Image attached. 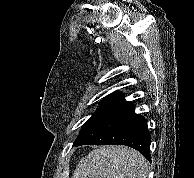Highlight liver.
<instances>
[{
  "label": "liver",
  "instance_id": "liver-1",
  "mask_svg": "<svg viewBox=\"0 0 194 178\" xmlns=\"http://www.w3.org/2000/svg\"><path fill=\"white\" fill-rule=\"evenodd\" d=\"M149 162L125 146H100L82 158L72 178H148Z\"/></svg>",
  "mask_w": 194,
  "mask_h": 178
}]
</instances>
